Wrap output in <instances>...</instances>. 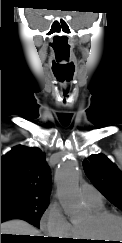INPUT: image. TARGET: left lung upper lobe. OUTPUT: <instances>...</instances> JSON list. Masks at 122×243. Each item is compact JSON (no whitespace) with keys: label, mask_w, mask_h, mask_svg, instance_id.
Returning <instances> with one entry per match:
<instances>
[{"label":"left lung upper lobe","mask_w":122,"mask_h":243,"mask_svg":"<svg viewBox=\"0 0 122 243\" xmlns=\"http://www.w3.org/2000/svg\"><path fill=\"white\" fill-rule=\"evenodd\" d=\"M83 168L93 185L116 207L122 210V173L105 155L84 159Z\"/></svg>","instance_id":"left-lung-upper-lobe-1"}]
</instances>
